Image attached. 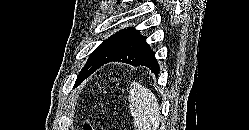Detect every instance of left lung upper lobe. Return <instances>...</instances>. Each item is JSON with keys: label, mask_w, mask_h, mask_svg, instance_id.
<instances>
[{"label": "left lung upper lobe", "mask_w": 249, "mask_h": 130, "mask_svg": "<svg viewBox=\"0 0 249 130\" xmlns=\"http://www.w3.org/2000/svg\"><path fill=\"white\" fill-rule=\"evenodd\" d=\"M139 34V30L127 28L104 40L103 43L90 54L87 63L76 79L75 86L79 85L108 60L118 55Z\"/></svg>", "instance_id": "left-lung-upper-lobe-1"}]
</instances>
